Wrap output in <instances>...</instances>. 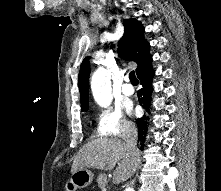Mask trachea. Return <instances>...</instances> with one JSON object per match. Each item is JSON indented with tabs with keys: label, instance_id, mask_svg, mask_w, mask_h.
<instances>
[{
	"label": "trachea",
	"instance_id": "obj_1",
	"mask_svg": "<svg viewBox=\"0 0 221 191\" xmlns=\"http://www.w3.org/2000/svg\"><path fill=\"white\" fill-rule=\"evenodd\" d=\"M129 77H130V81H131L132 84H138L139 83L137 77L135 76V72L134 71H131L129 73Z\"/></svg>",
	"mask_w": 221,
	"mask_h": 191
}]
</instances>
